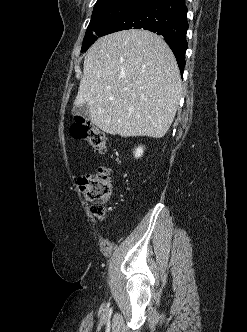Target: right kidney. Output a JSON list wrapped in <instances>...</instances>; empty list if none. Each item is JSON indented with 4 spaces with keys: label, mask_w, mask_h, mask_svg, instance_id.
Instances as JSON below:
<instances>
[{
    "label": "right kidney",
    "mask_w": 247,
    "mask_h": 332,
    "mask_svg": "<svg viewBox=\"0 0 247 332\" xmlns=\"http://www.w3.org/2000/svg\"><path fill=\"white\" fill-rule=\"evenodd\" d=\"M143 147L139 146L138 148L135 149L134 151V156L135 158H140L143 155Z\"/></svg>",
    "instance_id": "1"
}]
</instances>
